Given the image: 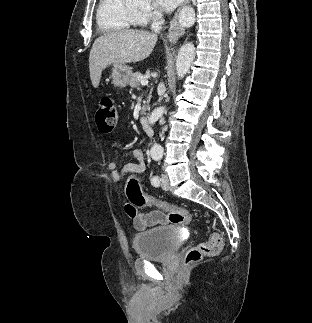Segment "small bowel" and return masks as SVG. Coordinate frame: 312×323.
<instances>
[{
    "label": "small bowel",
    "mask_w": 312,
    "mask_h": 323,
    "mask_svg": "<svg viewBox=\"0 0 312 323\" xmlns=\"http://www.w3.org/2000/svg\"><path fill=\"white\" fill-rule=\"evenodd\" d=\"M125 158H134L135 162H129L119 167L116 161H111L108 168L114 182L120 183L126 175H135L145 171L146 162L145 156L141 149H128L123 153ZM132 219L133 226L136 230L143 231L158 225H163L168 222V218L164 212L160 210H152L147 213L136 211L134 216L129 215Z\"/></svg>",
    "instance_id": "small-bowel-1"
}]
</instances>
